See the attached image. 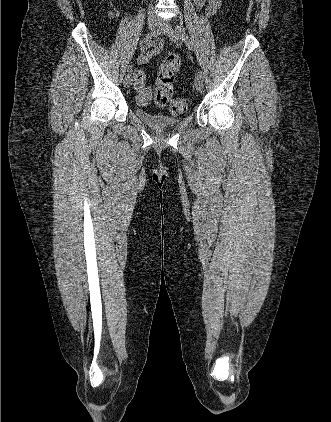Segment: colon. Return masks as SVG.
<instances>
[{"mask_svg": "<svg viewBox=\"0 0 331 422\" xmlns=\"http://www.w3.org/2000/svg\"><path fill=\"white\" fill-rule=\"evenodd\" d=\"M180 70V59L176 54L168 55L161 63L158 71L156 89H155V103L158 106H164L168 102L169 111L171 114H179L186 110L187 102L185 99L178 96L172 97L173 82L175 76ZM142 72H136V77H142ZM141 103L145 105L149 102V98L141 96Z\"/></svg>", "mask_w": 331, "mask_h": 422, "instance_id": "1", "label": "colon"}]
</instances>
